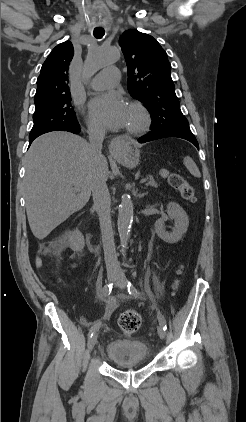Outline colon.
<instances>
[{"label": "colon", "mask_w": 246, "mask_h": 422, "mask_svg": "<svg viewBox=\"0 0 246 422\" xmlns=\"http://www.w3.org/2000/svg\"><path fill=\"white\" fill-rule=\"evenodd\" d=\"M162 175L167 178L169 184L180 193L183 199L186 201H193L195 199L193 187L182 175L166 170L162 171ZM141 323V316L133 310L124 311L118 319L120 329L127 334L137 332L141 327Z\"/></svg>", "instance_id": "obj_1"}]
</instances>
